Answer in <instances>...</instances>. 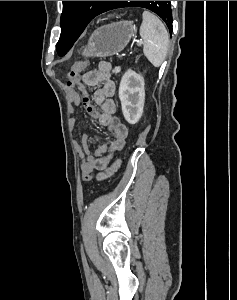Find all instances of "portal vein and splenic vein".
<instances>
[{
    "label": "portal vein and splenic vein",
    "instance_id": "1",
    "mask_svg": "<svg viewBox=\"0 0 237 300\" xmlns=\"http://www.w3.org/2000/svg\"><path fill=\"white\" fill-rule=\"evenodd\" d=\"M136 43H139V45H142L143 41H136Z\"/></svg>",
    "mask_w": 237,
    "mask_h": 300
}]
</instances>
